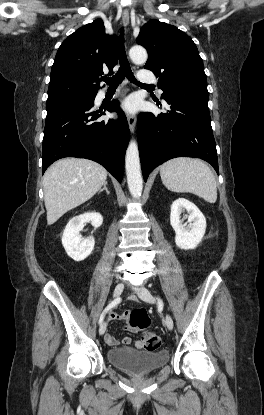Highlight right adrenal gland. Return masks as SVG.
<instances>
[{
  "label": "right adrenal gland",
  "mask_w": 264,
  "mask_h": 415,
  "mask_svg": "<svg viewBox=\"0 0 264 415\" xmlns=\"http://www.w3.org/2000/svg\"><path fill=\"white\" fill-rule=\"evenodd\" d=\"M104 190L106 191V193H107L108 195L110 194V192H109V190H108V188H107V182H105V183H104L103 188L99 191V193H100V192H102V191H104Z\"/></svg>",
  "instance_id": "2a0ac1e0"
}]
</instances>
